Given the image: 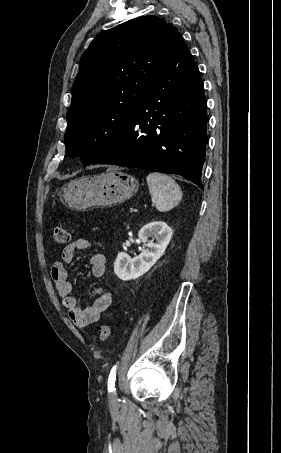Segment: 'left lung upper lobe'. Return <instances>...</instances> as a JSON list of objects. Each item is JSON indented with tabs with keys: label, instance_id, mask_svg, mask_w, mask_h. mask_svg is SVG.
<instances>
[{
	"label": "left lung upper lobe",
	"instance_id": "left-lung-upper-lobe-1",
	"mask_svg": "<svg viewBox=\"0 0 281 453\" xmlns=\"http://www.w3.org/2000/svg\"><path fill=\"white\" fill-rule=\"evenodd\" d=\"M179 33L143 16L100 33L84 52L67 111L66 156L93 164L117 140L169 57Z\"/></svg>",
	"mask_w": 281,
	"mask_h": 453
}]
</instances>
